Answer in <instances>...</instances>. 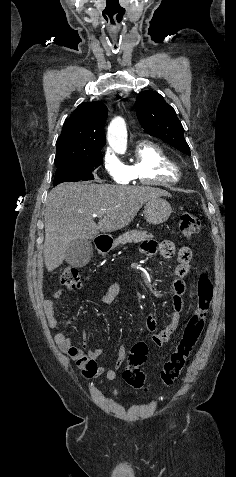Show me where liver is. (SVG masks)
I'll return each instance as SVG.
<instances>
[{"instance_id":"obj_1","label":"liver","mask_w":236,"mask_h":477,"mask_svg":"<svg viewBox=\"0 0 236 477\" xmlns=\"http://www.w3.org/2000/svg\"><path fill=\"white\" fill-rule=\"evenodd\" d=\"M161 196L170 194L150 186L63 183L53 188L44 221L43 256L48 272L63 263L70 242L124 228L145 203ZM99 212L104 217L96 224L92 215Z\"/></svg>"}]
</instances>
